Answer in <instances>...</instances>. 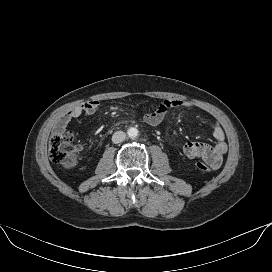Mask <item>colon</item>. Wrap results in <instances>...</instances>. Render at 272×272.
Wrapping results in <instances>:
<instances>
[{
  "label": "colon",
  "instance_id": "obj_1",
  "mask_svg": "<svg viewBox=\"0 0 272 272\" xmlns=\"http://www.w3.org/2000/svg\"><path fill=\"white\" fill-rule=\"evenodd\" d=\"M49 155L55 164L64 168H72L77 163V146L72 133H53L49 140ZM195 167L202 172H209L210 166L197 162Z\"/></svg>",
  "mask_w": 272,
  "mask_h": 272
}]
</instances>
